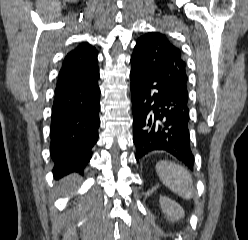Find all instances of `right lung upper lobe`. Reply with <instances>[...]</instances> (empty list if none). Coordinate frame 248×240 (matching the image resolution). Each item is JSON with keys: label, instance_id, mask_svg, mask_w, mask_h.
<instances>
[{"label": "right lung upper lobe", "instance_id": "right-lung-upper-lobe-1", "mask_svg": "<svg viewBox=\"0 0 248 240\" xmlns=\"http://www.w3.org/2000/svg\"><path fill=\"white\" fill-rule=\"evenodd\" d=\"M97 50L87 42L80 43L65 57L57 85L66 84L98 69Z\"/></svg>", "mask_w": 248, "mask_h": 240}]
</instances>
